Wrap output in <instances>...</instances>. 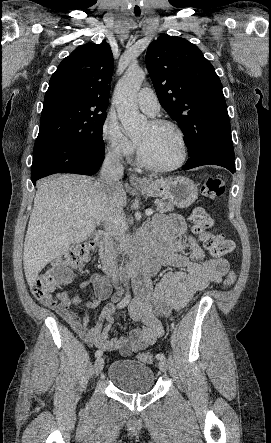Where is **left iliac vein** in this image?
Listing matches in <instances>:
<instances>
[{
	"label": "left iliac vein",
	"mask_w": 271,
	"mask_h": 443,
	"mask_svg": "<svg viewBox=\"0 0 271 443\" xmlns=\"http://www.w3.org/2000/svg\"><path fill=\"white\" fill-rule=\"evenodd\" d=\"M158 366H159V369L165 373L167 371V367H168L166 359L160 360L158 363Z\"/></svg>",
	"instance_id": "obj_1"
}]
</instances>
